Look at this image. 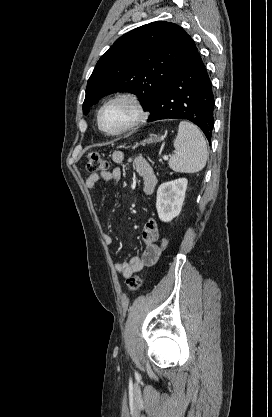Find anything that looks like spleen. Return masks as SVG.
Returning a JSON list of instances; mask_svg holds the SVG:
<instances>
[{
  "mask_svg": "<svg viewBox=\"0 0 272 417\" xmlns=\"http://www.w3.org/2000/svg\"><path fill=\"white\" fill-rule=\"evenodd\" d=\"M174 147L175 153L169 160V166L173 171L196 173L205 167L208 158L206 141L201 131L192 123H179Z\"/></svg>",
  "mask_w": 272,
  "mask_h": 417,
  "instance_id": "1",
  "label": "spleen"
}]
</instances>
